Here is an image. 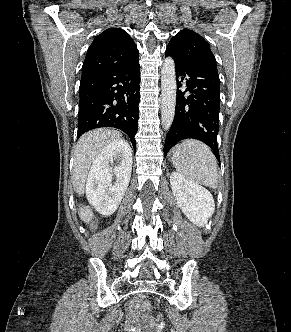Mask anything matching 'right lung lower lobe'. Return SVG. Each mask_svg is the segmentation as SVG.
Returning <instances> with one entry per match:
<instances>
[{"label": "right lung lower lobe", "instance_id": "98d812e1", "mask_svg": "<svg viewBox=\"0 0 291 332\" xmlns=\"http://www.w3.org/2000/svg\"><path fill=\"white\" fill-rule=\"evenodd\" d=\"M139 83V57L128 64L82 74L77 137L92 129L114 127L130 137L136 150Z\"/></svg>", "mask_w": 291, "mask_h": 332}]
</instances>
